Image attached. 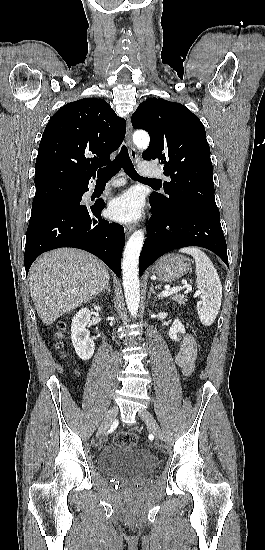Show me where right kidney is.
<instances>
[{
  "label": "right kidney",
  "instance_id": "ca27d5eb",
  "mask_svg": "<svg viewBox=\"0 0 265 550\" xmlns=\"http://www.w3.org/2000/svg\"><path fill=\"white\" fill-rule=\"evenodd\" d=\"M97 311L101 310L100 306H94ZM91 313L87 308H82L73 317L71 325V339L76 354L83 361L89 360L95 350V343L90 338V332L87 325L90 321Z\"/></svg>",
  "mask_w": 265,
  "mask_h": 550
}]
</instances>
